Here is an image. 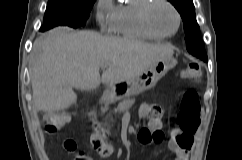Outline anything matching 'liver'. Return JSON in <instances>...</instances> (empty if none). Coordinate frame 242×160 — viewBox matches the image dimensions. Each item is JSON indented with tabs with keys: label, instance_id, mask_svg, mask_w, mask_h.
I'll list each match as a JSON object with an SVG mask.
<instances>
[{
	"label": "liver",
	"instance_id": "6515ba94",
	"mask_svg": "<svg viewBox=\"0 0 242 160\" xmlns=\"http://www.w3.org/2000/svg\"><path fill=\"white\" fill-rule=\"evenodd\" d=\"M170 44L105 37L91 31L57 27L33 44L31 85L37 111L69 108L77 100L73 88L96 89L100 83L131 80L154 62L171 58ZM102 65L108 68L100 76Z\"/></svg>",
	"mask_w": 242,
	"mask_h": 160
}]
</instances>
